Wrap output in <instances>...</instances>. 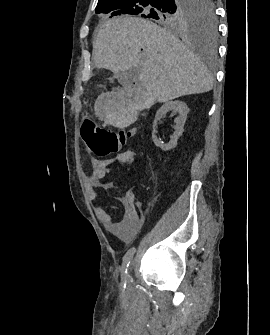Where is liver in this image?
<instances>
[{"instance_id": "obj_1", "label": "liver", "mask_w": 270, "mask_h": 335, "mask_svg": "<svg viewBox=\"0 0 270 335\" xmlns=\"http://www.w3.org/2000/svg\"><path fill=\"white\" fill-rule=\"evenodd\" d=\"M145 58H141L140 50ZM96 68L138 74L145 106L212 90L213 78L179 38L144 18L118 16L104 22L93 44Z\"/></svg>"}]
</instances>
